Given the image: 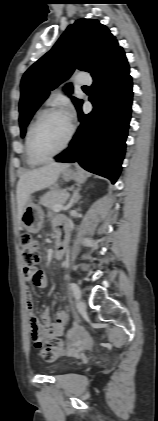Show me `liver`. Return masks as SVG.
<instances>
[{
    "instance_id": "6515ba94",
    "label": "liver",
    "mask_w": 158,
    "mask_h": 421,
    "mask_svg": "<svg viewBox=\"0 0 158 421\" xmlns=\"http://www.w3.org/2000/svg\"><path fill=\"white\" fill-rule=\"evenodd\" d=\"M69 167L66 163H50L43 167L29 170L23 173L17 184V205L18 220L24 211V207L34 192L43 190L54 184L59 178L60 173Z\"/></svg>"
}]
</instances>
